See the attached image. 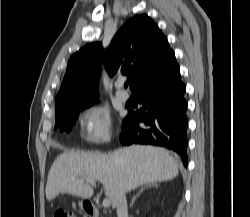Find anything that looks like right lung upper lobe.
I'll return each instance as SVG.
<instances>
[{"mask_svg":"<svg viewBox=\"0 0 250 217\" xmlns=\"http://www.w3.org/2000/svg\"><path fill=\"white\" fill-rule=\"evenodd\" d=\"M174 54L166 37L151 18L138 15L129 20L103 51L101 43L89 44L69 60L56 96V117L93 104L101 62L110 76L127 75L132 91L155 74Z\"/></svg>","mask_w":250,"mask_h":217,"instance_id":"cb5924a9","label":"right lung upper lobe"}]
</instances>
